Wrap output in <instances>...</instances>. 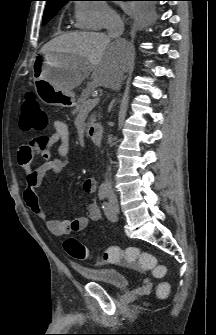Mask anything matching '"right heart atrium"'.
Segmentation results:
<instances>
[{
    "label": "right heart atrium",
    "mask_w": 216,
    "mask_h": 335,
    "mask_svg": "<svg viewBox=\"0 0 216 335\" xmlns=\"http://www.w3.org/2000/svg\"><path fill=\"white\" fill-rule=\"evenodd\" d=\"M77 25L82 29L101 30L108 23L120 21L117 12L99 1H80L75 5Z\"/></svg>",
    "instance_id": "obj_1"
}]
</instances>
